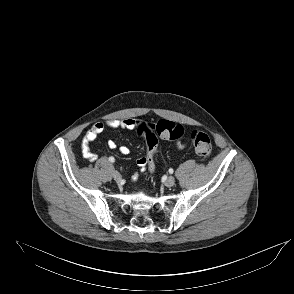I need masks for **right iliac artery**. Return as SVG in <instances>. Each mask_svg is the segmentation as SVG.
<instances>
[{
  "mask_svg": "<svg viewBox=\"0 0 294 294\" xmlns=\"http://www.w3.org/2000/svg\"><path fill=\"white\" fill-rule=\"evenodd\" d=\"M109 161L112 162V163H114L115 162V159L113 157H110L109 158Z\"/></svg>",
  "mask_w": 294,
  "mask_h": 294,
  "instance_id": "82829eb1",
  "label": "right iliac artery"
}]
</instances>
